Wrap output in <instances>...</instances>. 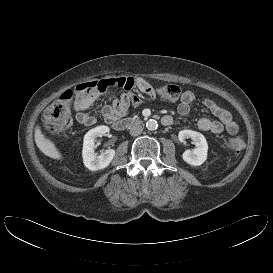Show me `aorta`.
I'll use <instances>...</instances> for the list:
<instances>
[{
    "label": "aorta",
    "mask_w": 273,
    "mask_h": 273,
    "mask_svg": "<svg viewBox=\"0 0 273 273\" xmlns=\"http://www.w3.org/2000/svg\"><path fill=\"white\" fill-rule=\"evenodd\" d=\"M158 127L157 121L154 119H150L146 122V128L150 131L156 130Z\"/></svg>",
    "instance_id": "aorta-1"
}]
</instances>
